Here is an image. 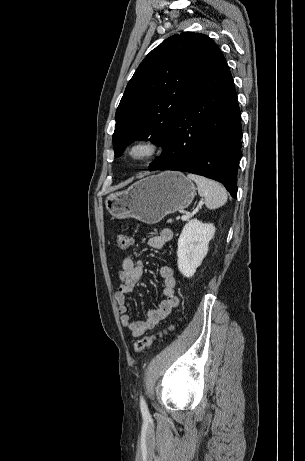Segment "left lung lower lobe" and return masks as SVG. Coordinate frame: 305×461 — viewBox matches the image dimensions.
I'll return each instance as SVG.
<instances>
[{
    "mask_svg": "<svg viewBox=\"0 0 305 461\" xmlns=\"http://www.w3.org/2000/svg\"><path fill=\"white\" fill-rule=\"evenodd\" d=\"M242 126L237 94L221 54L192 90L149 171L177 170L221 182L237 194Z\"/></svg>",
    "mask_w": 305,
    "mask_h": 461,
    "instance_id": "obj_1",
    "label": "left lung lower lobe"
}]
</instances>
